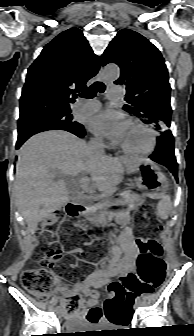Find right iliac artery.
Masks as SVG:
<instances>
[{
	"label": "right iliac artery",
	"instance_id": "1",
	"mask_svg": "<svg viewBox=\"0 0 194 336\" xmlns=\"http://www.w3.org/2000/svg\"><path fill=\"white\" fill-rule=\"evenodd\" d=\"M63 306V304H62V302H61V306H59V307H62Z\"/></svg>",
	"mask_w": 194,
	"mask_h": 336
}]
</instances>
